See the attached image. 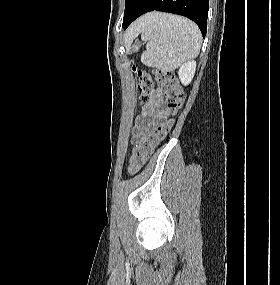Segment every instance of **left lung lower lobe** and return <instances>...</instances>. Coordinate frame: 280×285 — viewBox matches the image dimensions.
<instances>
[{"label": "left lung lower lobe", "mask_w": 280, "mask_h": 285, "mask_svg": "<svg viewBox=\"0 0 280 285\" xmlns=\"http://www.w3.org/2000/svg\"><path fill=\"white\" fill-rule=\"evenodd\" d=\"M208 6V0H137L130 14L123 21L122 27L126 29L142 14L157 10L188 17L199 26L203 37H205Z\"/></svg>", "instance_id": "obj_1"}]
</instances>
